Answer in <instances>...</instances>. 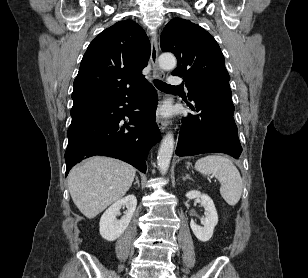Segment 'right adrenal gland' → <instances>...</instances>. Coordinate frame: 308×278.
I'll return each instance as SVG.
<instances>
[{"instance_id": "right-adrenal-gland-1", "label": "right adrenal gland", "mask_w": 308, "mask_h": 278, "mask_svg": "<svg viewBox=\"0 0 308 278\" xmlns=\"http://www.w3.org/2000/svg\"><path fill=\"white\" fill-rule=\"evenodd\" d=\"M135 180H136V181L134 182V185H136V184H137V185H138V187H140L139 179H138V177H137V176H136Z\"/></svg>"}]
</instances>
